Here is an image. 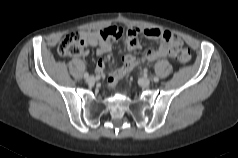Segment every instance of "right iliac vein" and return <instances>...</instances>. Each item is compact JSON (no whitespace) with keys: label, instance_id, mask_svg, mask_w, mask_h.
<instances>
[{"label":"right iliac vein","instance_id":"obj_1","mask_svg":"<svg viewBox=\"0 0 238 158\" xmlns=\"http://www.w3.org/2000/svg\"><path fill=\"white\" fill-rule=\"evenodd\" d=\"M86 81L89 83V84H94L95 83V78L93 76H89Z\"/></svg>","mask_w":238,"mask_h":158}]
</instances>
